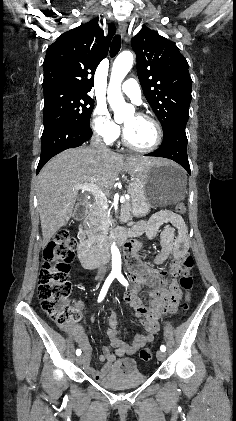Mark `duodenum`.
<instances>
[{
	"instance_id": "410a0bca",
	"label": "duodenum",
	"mask_w": 236,
	"mask_h": 421,
	"mask_svg": "<svg viewBox=\"0 0 236 421\" xmlns=\"http://www.w3.org/2000/svg\"><path fill=\"white\" fill-rule=\"evenodd\" d=\"M87 212V203H79L74 211V218L77 221H82ZM138 234L132 230L117 229L109 237V242H116L119 245H122L125 249V254L128 262V266L133 274L134 280L138 285L141 284H152L159 281L162 278L163 272L161 270L152 269L148 266L142 264L136 257L135 251L137 249V244L130 239L136 237ZM78 258L82 266L86 269H94L103 265L108 259L107 246L104 248L90 249L84 243L80 242L77 246ZM173 266L172 272H177V255L176 248L174 247L171 253ZM163 259V256L156 257L155 261L158 263ZM178 299V292L172 287L167 285H159L150 293V305L151 310L154 313L161 312H172L175 307V302ZM137 312L147 313V316L150 317V320L146 324L147 335L137 339L138 342L145 341L151 334L154 333V324L155 322L151 319V314L145 309H140L139 307H134ZM109 336L114 344L118 347L116 350L117 355H123L125 352H130L132 347L124 344L121 340L117 338V331L110 329L108 331ZM73 338L77 342H82L83 338L78 333L72 334ZM102 361L107 362L104 368L101 371L95 370L90 367L88 360L84 362L85 369L96 379L102 377V375L108 370L111 362L115 360V356L110 353H106L100 357Z\"/></svg>"
}]
</instances>
